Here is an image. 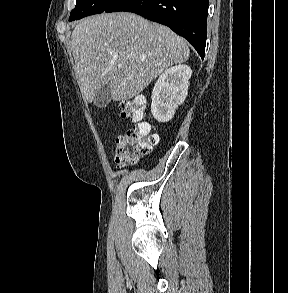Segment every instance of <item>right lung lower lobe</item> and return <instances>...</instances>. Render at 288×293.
<instances>
[{"label":"right lung lower lobe","mask_w":288,"mask_h":293,"mask_svg":"<svg viewBox=\"0 0 288 293\" xmlns=\"http://www.w3.org/2000/svg\"><path fill=\"white\" fill-rule=\"evenodd\" d=\"M209 0H119L105 12H133L168 26L184 37L203 59Z\"/></svg>","instance_id":"right-lung-lower-lobe-1"}]
</instances>
